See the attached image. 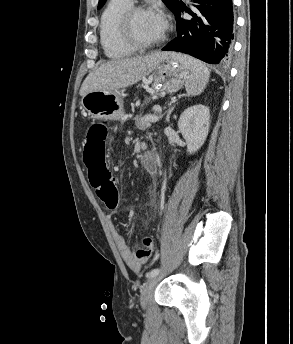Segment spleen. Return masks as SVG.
I'll list each match as a JSON object with an SVG mask.
<instances>
[{"instance_id":"obj_1","label":"spleen","mask_w":293,"mask_h":344,"mask_svg":"<svg viewBox=\"0 0 293 344\" xmlns=\"http://www.w3.org/2000/svg\"><path fill=\"white\" fill-rule=\"evenodd\" d=\"M191 71L189 79L185 83V88L189 96H196L202 93L206 87L210 71L204 63L186 55L172 54Z\"/></svg>"}]
</instances>
